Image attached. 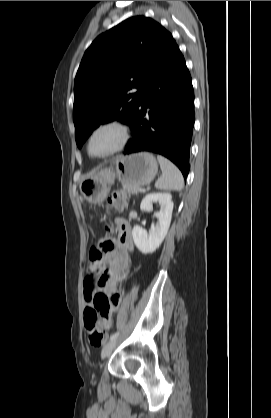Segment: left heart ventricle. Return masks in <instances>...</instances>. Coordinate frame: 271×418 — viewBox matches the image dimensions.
Returning a JSON list of instances; mask_svg holds the SVG:
<instances>
[{"label":"left heart ventricle","mask_w":271,"mask_h":418,"mask_svg":"<svg viewBox=\"0 0 271 418\" xmlns=\"http://www.w3.org/2000/svg\"><path fill=\"white\" fill-rule=\"evenodd\" d=\"M119 140V134L114 129H106L99 132L93 139L91 149L95 154H100L114 147Z\"/></svg>","instance_id":"b2bd125f"}]
</instances>
